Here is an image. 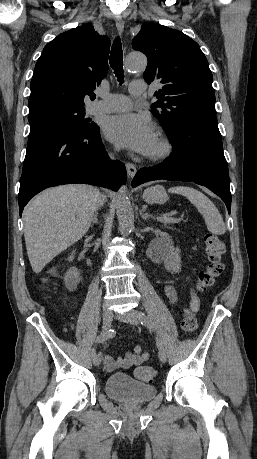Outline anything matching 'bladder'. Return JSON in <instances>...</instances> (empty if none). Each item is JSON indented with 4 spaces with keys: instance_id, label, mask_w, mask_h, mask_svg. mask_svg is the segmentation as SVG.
Masks as SVG:
<instances>
[{
    "instance_id": "31cf9c89",
    "label": "bladder",
    "mask_w": 257,
    "mask_h": 459,
    "mask_svg": "<svg viewBox=\"0 0 257 459\" xmlns=\"http://www.w3.org/2000/svg\"><path fill=\"white\" fill-rule=\"evenodd\" d=\"M108 397L126 404H144L152 400L157 389L132 378L128 373H114L105 381Z\"/></svg>"
}]
</instances>
